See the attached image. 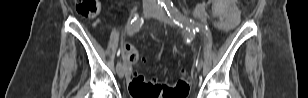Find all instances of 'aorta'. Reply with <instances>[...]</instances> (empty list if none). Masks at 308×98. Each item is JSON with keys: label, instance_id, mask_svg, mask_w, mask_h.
Masks as SVG:
<instances>
[{"label": "aorta", "instance_id": "aorta-1", "mask_svg": "<svg viewBox=\"0 0 308 98\" xmlns=\"http://www.w3.org/2000/svg\"><path fill=\"white\" fill-rule=\"evenodd\" d=\"M165 2H166V4H170L171 0H166Z\"/></svg>", "mask_w": 308, "mask_h": 98}]
</instances>
